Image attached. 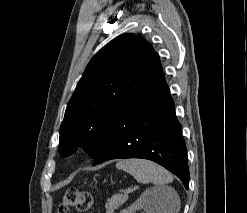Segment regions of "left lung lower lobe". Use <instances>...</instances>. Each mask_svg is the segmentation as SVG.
<instances>
[{"mask_svg":"<svg viewBox=\"0 0 247 213\" xmlns=\"http://www.w3.org/2000/svg\"><path fill=\"white\" fill-rule=\"evenodd\" d=\"M121 158L152 160L189 187L187 149L161 64L149 69L136 96L127 102L94 165Z\"/></svg>","mask_w":247,"mask_h":213,"instance_id":"left-lung-lower-lobe-1","label":"left lung lower lobe"}]
</instances>
